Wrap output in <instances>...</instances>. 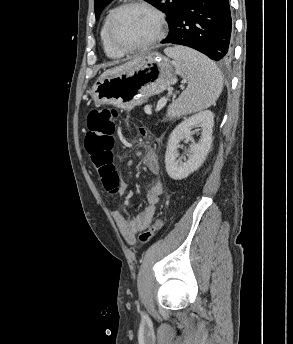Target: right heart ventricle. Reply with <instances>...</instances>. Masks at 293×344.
<instances>
[{"mask_svg":"<svg viewBox=\"0 0 293 344\" xmlns=\"http://www.w3.org/2000/svg\"><path fill=\"white\" fill-rule=\"evenodd\" d=\"M111 13L112 10L106 15L102 23V27L100 30V39L106 56L112 60H119L124 57L125 53L119 52L114 49L108 40L107 28Z\"/></svg>","mask_w":293,"mask_h":344,"instance_id":"right-heart-ventricle-1","label":"right heart ventricle"}]
</instances>
